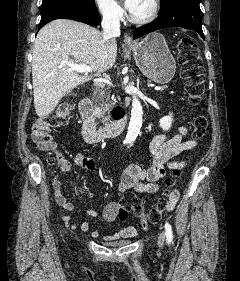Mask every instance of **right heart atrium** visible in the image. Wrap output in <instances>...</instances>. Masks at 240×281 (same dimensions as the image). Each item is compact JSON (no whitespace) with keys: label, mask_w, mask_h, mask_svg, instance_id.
Instances as JSON below:
<instances>
[{"label":"right heart atrium","mask_w":240,"mask_h":281,"mask_svg":"<svg viewBox=\"0 0 240 281\" xmlns=\"http://www.w3.org/2000/svg\"><path fill=\"white\" fill-rule=\"evenodd\" d=\"M100 14L109 21H119L123 16V9L116 0H95Z\"/></svg>","instance_id":"obj_1"}]
</instances>
